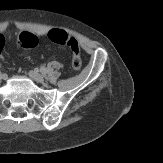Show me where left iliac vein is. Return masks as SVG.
I'll use <instances>...</instances> for the list:
<instances>
[{"instance_id": "obj_1", "label": "left iliac vein", "mask_w": 163, "mask_h": 163, "mask_svg": "<svg viewBox=\"0 0 163 163\" xmlns=\"http://www.w3.org/2000/svg\"><path fill=\"white\" fill-rule=\"evenodd\" d=\"M29 76L36 82L42 83L44 81V77L37 71H30Z\"/></svg>"}]
</instances>
